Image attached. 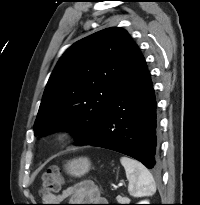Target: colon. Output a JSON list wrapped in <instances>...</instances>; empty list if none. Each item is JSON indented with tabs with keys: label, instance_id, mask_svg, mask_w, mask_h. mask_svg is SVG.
Segmentation results:
<instances>
[{
	"label": "colon",
	"instance_id": "1",
	"mask_svg": "<svg viewBox=\"0 0 200 205\" xmlns=\"http://www.w3.org/2000/svg\"><path fill=\"white\" fill-rule=\"evenodd\" d=\"M63 184L61 171L57 166L49 168L42 176L41 195L46 198L56 195Z\"/></svg>",
	"mask_w": 200,
	"mask_h": 205
}]
</instances>
